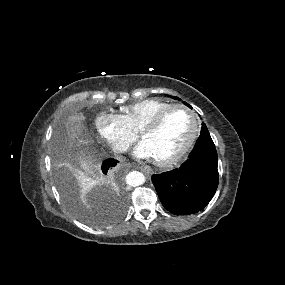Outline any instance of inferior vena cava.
Wrapping results in <instances>:
<instances>
[{
  "instance_id": "602c4592",
  "label": "inferior vena cava",
  "mask_w": 285,
  "mask_h": 285,
  "mask_svg": "<svg viewBox=\"0 0 285 285\" xmlns=\"http://www.w3.org/2000/svg\"><path fill=\"white\" fill-rule=\"evenodd\" d=\"M111 148L115 153H123L127 150V146L120 142L113 143Z\"/></svg>"
}]
</instances>
